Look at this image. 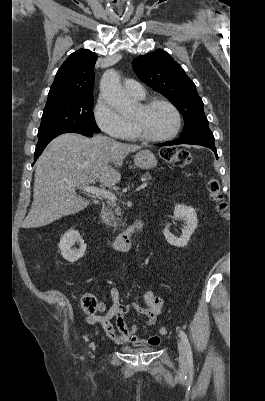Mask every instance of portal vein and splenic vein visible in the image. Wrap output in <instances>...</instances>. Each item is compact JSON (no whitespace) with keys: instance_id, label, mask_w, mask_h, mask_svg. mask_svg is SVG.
Wrapping results in <instances>:
<instances>
[{"instance_id":"18ae733b","label":"portal vein and splenic vein","mask_w":265,"mask_h":401,"mask_svg":"<svg viewBox=\"0 0 265 401\" xmlns=\"http://www.w3.org/2000/svg\"><path fill=\"white\" fill-rule=\"evenodd\" d=\"M96 178H94L93 182H95ZM147 182H143V184H139L137 189H134V191H131V196H134V192L141 191L142 188L146 189L147 188ZM79 188H83V190H86V192H92V194H97V196H104V198H108V201H115V194L113 192H109V190H101V188H97V186H86V184H83V186H80L78 184Z\"/></svg>"}]
</instances>
